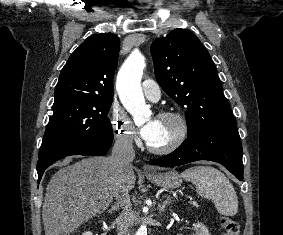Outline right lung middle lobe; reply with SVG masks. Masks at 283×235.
<instances>
[{
  "instance_id": "1",
  "label": "right lung middle lobe",
  "mask_w": 283,
  "mask_h": 235,
  "mask_svg": "<svg viewBox=\"0 0 283 235\" xmlns=\"http://www.w3.org/2000/svg\"><path fill=\"white\" fill-rule=\"evenodd\" d=\"M113 97H72L53 105L39 158L66 143L113 133L107 117Z\"/></svg>"
}]
</instances>
